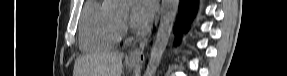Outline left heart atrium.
Instances as JSON below:
<instances>
[{"label":"left heart atrium","mask_w":287,"mask_h":76,"mask_svg":"<svg viewBox=\"0 0 287 76\" xmlns=\"http://www.w3.org/2000/svg\"><path fill=\"white\" fill-rule=\"evenodd\" d=\"M155 11V4L151 0H133L130 20L134 27L144 28L151 21Z\"/></svg>","instance_id":"left-heart-atrium-1"}]
</instances>
